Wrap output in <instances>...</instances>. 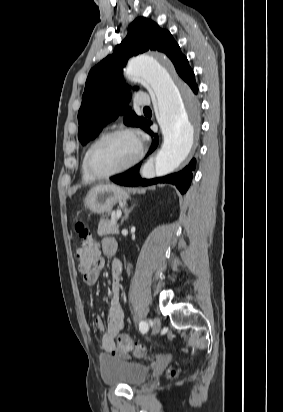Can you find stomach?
<instances>
[{"label":"stomach","mask_w":283,"mask_h":412,"mask_svg":"<svg viewBox=\"0 0 283 412\" xmlns=\"http://www.w3.org/2000/svg\"><path fill=\"white\" fill-rule=\"evenodd\" d=\"M129 196V191L119 186L98 185L88 192L84 205L93 213L104 214L110 212L117 203L125 202Z\"/></svg>","instance_id":"obj_1"}]
</instances>
